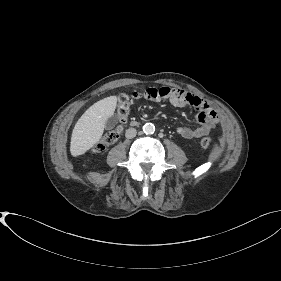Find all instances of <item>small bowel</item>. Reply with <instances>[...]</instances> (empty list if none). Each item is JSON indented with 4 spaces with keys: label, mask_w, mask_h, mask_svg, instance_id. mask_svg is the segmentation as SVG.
<instances>
[{
    "label": "small bowel",
    "mask_w": 281,
    "mask_h": 281,
    "mask_svg": "<svg viewBox=\"0 0 281 281\" xmlns=\"http://www.w3.org/2000/svg\"><path fill=\"white\" fill-rule=\"evenodd\" d=\"M134 98L143 97L153 102H167L175 107L190 106L197 110V128L179 127L177 133L186 139L199 138L209 134L220 122V116L204 99L178 88H148L144 92H134Z\"/></svg>",
    "instance_id": "small-bowel-1"
}]
</instances>
